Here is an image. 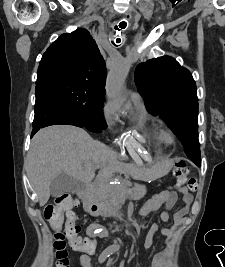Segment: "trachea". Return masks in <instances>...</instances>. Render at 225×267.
<instances>
[{"mask_svg": "<svg viewBox=\"0 0 225 267\" xmlns=\"http://www.w3.org/2000/svg\"><path fill=\"white\" fill-rule=\"evenodd\" d=\"M126 26H127V23H126L125 21H122V22L119 23V28H120V29H125ZM115 28L118 29L117 26H116ZM118 30H119V29H118ZM116 42H117V43H120V40H116Z\"/></svg>", "mask_w": 225, "mask_h": 267, "instance_id": "obj_1", "label": "trachea"}]
</instances>
